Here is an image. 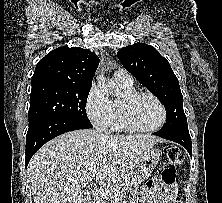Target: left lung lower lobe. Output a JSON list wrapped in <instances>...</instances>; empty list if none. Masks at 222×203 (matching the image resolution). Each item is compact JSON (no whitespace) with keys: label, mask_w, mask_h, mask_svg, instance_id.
<instances>
[{"label":"left lung lower lobe","mask_w":222,"mask_h":203,"mask_svg":"<svg viewBox=\"0 0 222 203\" xmlns=\"http://www.w3.org/2000/svg\"><path fill=\"white\" fill-rule=\"evenodd\" d=\"M153 134L182 145L183 147L187 149L190 156H192V142H191L189 131H181V130L162 131L160 130Z\"/></svg>","instance_id":"obj_1"}]
</instances>
